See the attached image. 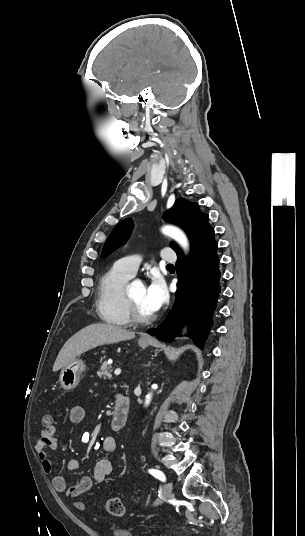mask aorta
Returning <instances> with one entry per match:
<instances>
[{
	"label": "aorta",
	"instance_id": "762f6f07",
	"mask_svg": "<svg viewBox=\"0 0 305 536\" xmlns=\"http://www.w3.org/2000/svg\"><path fill=\"white\" fill-rule=\"evenodd\" d=\"M165 235L171 237L174 239L184 250V252L189 251V242L188 238L185 235L183 231H181L179 228L172 226V225H166L161 230ZM152 394L149 393L146 395L145 404L148 405L150 403Z\"/></svg>",
	"mask_w": 305,
	"mask_h": 536
}]
</instances>
